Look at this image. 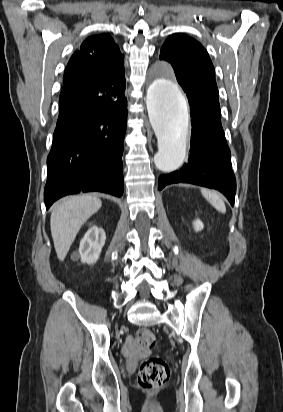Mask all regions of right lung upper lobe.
Masks as SVG:
<instances>
[{"mask_svg":"<svg viewBox=\"0 0 283 412\" xmlns=\"http://www.w3.org/2000/svg\"><path fill=\"white\" fill-rule=\"evenodd\" d=\"M124 55L107 34L87 38L71 57L64 73L59 106L75 96L94 91L102 83L125 84Z\"/></svg>","mask_w":283,"mask_h":412,"instance_id":"right-lung-upper-lobe-1","label":"right lung upper lobe"}]
</instances>
